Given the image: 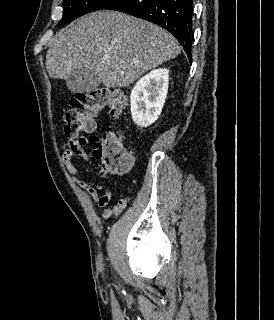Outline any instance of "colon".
<instances>
[{
    "label": "colon",
    "mask_w": 274,
    "mask_h": 320,
    "mask_svg": "<svg viewBox=\"0 0 274 320\" xmlns=\"http://www.w3.org/2000/svg\"><path fill=\"white\" fill-rule=\"evenodd\" d=\"M125 98L116 91L95 88L79 92L69 101L70 107L64 111V133L89 134L93 131L87 126L88 120H95L98 113L107 109L113 117H118ZM92 143L97 154L103 159L102 167L106 171L124 173L131 169L133 157L124 152V137L117 131H104L100 137L92 135ZM125 196V195H121ZM126 199H128L126 197ZM123 211V210H120Z\"/></svg>",
    "instance_id": "obj_1"
}]
</instances>
